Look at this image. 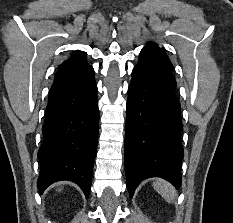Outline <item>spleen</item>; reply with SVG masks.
I'll return each instance as SVG.
<instances>
[{
  "instance_id": "spleen-1",
  "label": "spleen",
  "mask_w": 233,
  "mask_h": 223,
  "mask_svg": "<svg viewBox=\"0 0 233 223\" xmlns=\"http://www.w3.org/2000/svg\"><path fill=\"white\" fill-rule=\"evenodd\" d=\"M153 187L158 191V193H161L162 197L166 199V201H174L177 197V191L174 189L173 185L169 183V181H165V179H160V177H157V179H154L153 181Z\"/></svg>"
}]
</instances>
